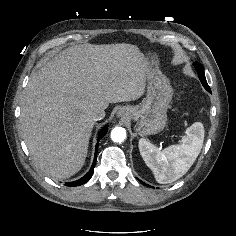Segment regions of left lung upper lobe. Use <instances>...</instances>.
I'll list each match as a JSON object with an SVG mask.
<instances>
[{
	"instance_id": "left-lung-upper-lobe-1",
	"label": "left lung upper lobe",
	"mask_w": 236,
	"mask_h": 236,
	"mask_svg": "<svg viewBox=\"0 0 236 236\" xmlns=\"http://www.w3.org/2000/svg\"><path fill=\"white\" fill-rule=\"evenodd\" d=\"M194 66H195V68H196V70L198 72V76H199V79H200L202 85L204 86V88L207 91L211 92L210 87H209V85H208V83L206 81V77H205V74H204L203 66L200 63H197V62L194 63Z\"/></svg>"
}]
</instances>
